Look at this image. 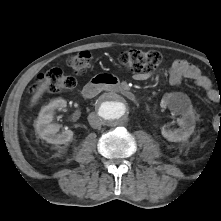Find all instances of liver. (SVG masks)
<instances>
[{"label": "liver", "mask_w": 221, "mask_h": 221, "mask_svg": "<svg viewBox=\"0 0 221 221\" xmlns=\"http://www.w3.org/2000/svg\"><path fill=\"white\" fill-rule=\"evenodd\" d=\"M51 79L47 78L46 82L42 83L39 88L37 89L36 93L31 98V105H34L38 99L42 96L44 91L47 89L48 84L50 83Z\"/></svg>", "instance_id": "1"}]
</instances>
